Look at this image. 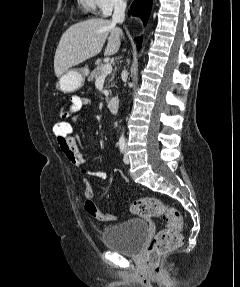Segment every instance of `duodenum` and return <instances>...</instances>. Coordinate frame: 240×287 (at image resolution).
Segmentation results:
<instances>
[{
    "instance_id": "duodenum-1",
    "label": "duodenum",
    "mask_w": 240,
    "mask_h": 287,
    "mask_svg": "<svg viewBox=\"0 0 240 287\" xmlns=\"http://www.w3.org/2000/svg\"><path fill=\"white\" fill-rule=\"evenodd\" d=\"M119 103L120 101L118 97H111L107 102V106L111 112L115 113L119 108Z\"/></svg>"
}]
</instances>
